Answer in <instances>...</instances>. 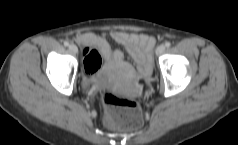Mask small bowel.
Masks as SVG:
<instances>
[{"label": "small bowel", "instance_id": "obj_1", "mask_svg": "<svg viewBox=\"0 0 238 145\" xmlns=\"http://www.w3.org/2000/svg\"><path fill=\"white\" fill-rule=\"evenodd\" d=\"M76 40L85 46L94 48L99 55L110 63L122 62L125 54L136 65L143 80L150 79L152 71V51L155 40L143 33H130L121 30H114L108 34L96 35L94 33H80ZM109 40L114 41L124 48L113 50Z\"/></svg>", "mask_w": 238, "mask_h": 145}]
</instances>
